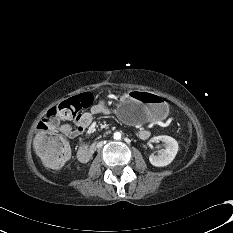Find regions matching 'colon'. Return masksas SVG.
Instances as JSON below:
<instances>
[{
	"label": "colon",
	"mask_w": 233,
	"mask_h": 233,
	"mask_svg": "<svg viewBox=\"0 0 233 233\" xmlns=\"http://www.w3.org/2000/svg\"><path fill=\"white\" fill-rule=\"evenodd\" d=\"M91 92H84L62 102L38 124L34 143L35 151L43 164L52 170L61 168L71 156V145L63 135L54 134L49 127V118H74L93 103Z\"/></svg>",
	"instance_id": "1"
}]
</instances>
